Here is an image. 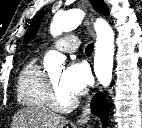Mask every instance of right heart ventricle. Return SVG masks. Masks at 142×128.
<instances>
[{
	"label": "right heart ventricle",
	"instance_id": "e07e8e85",
	"mask_svg": "<svg viewBox=\"0 0 142 128\" xmlns=\"http://www.w3.org/2000/svg\"><path fill=\"white\" fill-rule=\"evenodd\" d=\"M17 99L30 108H50L48 76L37 60L29 61L20 71L17 81Z\"/></svg>",
	"mask_w": 142,
	"mask_h": 128
}]
</instances>
